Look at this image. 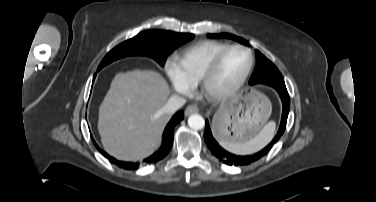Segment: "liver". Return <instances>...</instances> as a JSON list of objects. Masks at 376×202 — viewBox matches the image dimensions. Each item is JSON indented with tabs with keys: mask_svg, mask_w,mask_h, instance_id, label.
Segmentation results:
<instances>
[{
	"mask_svg": "<svg viewBox=\"0 0 376 202\" xmlns=\"http://www.w3.org/2000/svg\"><path fill=\"white\" fill-rule=\"evenodd\" d=\"M169 89L153 70L118 73L100 108L98 130L104 149L122 161H138L159 146L170 115L162 111Z\"/></svg>",
	"mask_w": 376,
	"mask_h": 202,
	"instance_id": "obj_1",
	"label": "liver"
}]
</instances>
